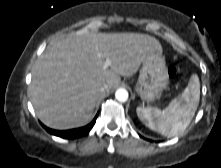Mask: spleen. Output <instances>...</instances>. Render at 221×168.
Here are the masks:
<instances>
[{
  "mask_svg": "<svg viewBox=\"0 0 221 168\" xmlns=\"http://www.w3.org/2000/svg\"><path fill=\"white\" fill-rule=\"evenodd\" d=\"M200 99V82L193 74L185 90L163 110L137 107L139 119L151 130L166 137L176 136L190 124Z\"/></svg>",
  "mask_w": 221,
  "mask_h": 168,
  "instance_id": "obj_1",
  "label": "spleen"
}]
</instances>
